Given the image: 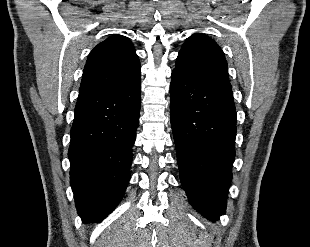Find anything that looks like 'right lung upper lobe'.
Returning a JSON list of instances; mask_svg holds the SVG:
<instances>
[{
    "instance_id": "obj_1",
    "label": "right lung upper lobe",
    "mask_w": 310,
    "mask_h": 247,
    "mask_svg": "<svg viewBox=\"0 0 310 247\" xmlns=\"http://www.w3.org/2000/svg\"><path fill=\"white\" fill-rule=\"evenodd\" d=\"M140 74V62L132 42L115 34L90 52L79 95L133 87L141 81Z\"/></svg>"
}]
</instances>
